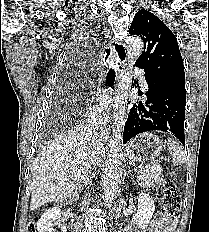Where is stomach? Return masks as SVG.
<instances>
[{
  "label": "stomach",
  "mask_w": 209,
  "mask_h": 232,
  "mask_svg": "<svg viewBox=\"0 0 209 232\" xmlns=\"http://www.w3.org/2000/svg\"><path fill=\"white\" fill-rule=\"evenodd\" d=\"M162 149L159 137L152 133H142L126 145L125 152L130 160L148 162L159 157Z\"/></svg>",
  "instance_id": "stomach-1"
}]
</instances>
